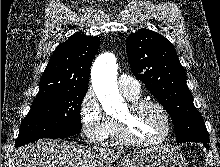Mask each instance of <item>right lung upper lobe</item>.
Masks as SVG:
<instances>
[{
    "instance_id": "1",
    "label": "right lung upper lobe",
    "mask_w": 220,
    "mask_h": 167,
    "mask_svg": "<svg viewBox=\"0 0 220 167\" xmlns=\"http://www.w3.org/2000/svg\"><path fill=\"white\" fill-rule=\"evenodd\" d=\"M99 47L97 36L74 34L54 51L34 100L70 88H88L91 63Z\"/></svg>"
}]
</instances>
